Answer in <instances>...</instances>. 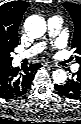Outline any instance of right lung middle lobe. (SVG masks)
Wrapping results in <instances>:
<instances>
[{
    "mask_svg": "<svg viewBox=\"0 0 81 124\" xmlns=\"http://www.w3.org/2000/svg\"><path fill=\"white\" fill-rule=\"evenodd\" d=\"M14 50V48H11V49H9V51H8V57H9V60H12V57L10 56V53L12 52Z\"/></svg>",
    "mask_w": 81,
    "mask_h": 124,
    "instance_id": "dd1d6c3e",
    "label": "right lung middle lobe"
}]
</instances>
